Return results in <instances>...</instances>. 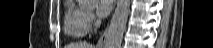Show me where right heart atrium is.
<instances>
[{
	"mask_svg": "<svg viewBox=\"0 0 213 48\" xmlns=\"http://www.w3.org/2000/svg\"><path fill=\"white\" fill-rule=\"evenodd\" d=\"M85 20L90 27L91 23L93 22V14L91 12H87L85 16Z\"/></svg>",
	"mask_w": 213,
	"mask_h": 48,
	"instance_id": "right-heart-atrium-1",
	"label": "right heart atrium"
}]
</instances>
